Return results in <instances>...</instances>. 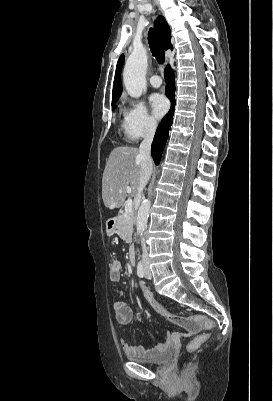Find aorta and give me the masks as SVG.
<instances>
[{
  "label": "aorta",
  "instance_id": "aorta-1",
  "mask_svg": "<svg viewBox=\"0 0 273 401\" xmlns=\"http://www.w3.org/2000/svg\"><path fill=\"white\" fill-rule=\"evenodd\" d=\"M147 70V52L145 48L134 47L132 53L128 57L124 71L123 82L127 93L134 98L141 96L146 88L145 75ZM151 202L144 199L140 205L137 214V234L142 236L146 228Z\"/></svg>",
  "mask_w": 273,
  "mask_h": 401
}]
</instances>
